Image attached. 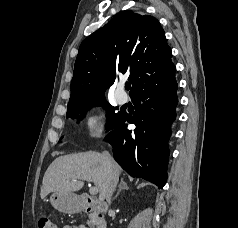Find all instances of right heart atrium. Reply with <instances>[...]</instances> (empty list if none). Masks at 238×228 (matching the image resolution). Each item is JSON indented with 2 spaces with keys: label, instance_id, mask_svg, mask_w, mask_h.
I'll list each match as a JSON object with an SVG mask.
<instances>
[{
  "label": "right heart atrium",
  "instance_id": "right-heart-atrium-1",
  "mask_svg": "<svg viewBox=\"0 0 238 228\" xmlns=\"http://www.w3.org/2000/svg\"><path fill=\"white\" fill-rule=\"evenodd\" d=\"M82 127L89 139L99 138L102 134V123L99 113L91 111L86 114L82 122Z\"/></svg>",
  "mask_w": 238,
  "mask_h": 228
}]
</instances>
